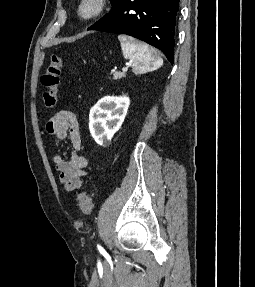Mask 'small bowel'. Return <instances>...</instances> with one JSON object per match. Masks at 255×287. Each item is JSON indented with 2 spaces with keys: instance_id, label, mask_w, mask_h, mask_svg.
<instances>
[{
  "instance_id": "c3829d8e",
  "label": "small bowel",
  "mask_w": 255,
  "mask_h": 287,
  "mask_svg": "<svg viewBox=\"0 0 255 287\" xmlns=\"http://www.w3.org/2000/svg\"><path fill=\"white\" fill-rule=\"evenodd\" d=\"M46 131L58 140H69L72 153L69 159L62 154H55L53 162L59 173L60 184L68 192L78 190L86 175L88 160L79 154L81 149V134L76 115L67 110L56 112L47 122Z\"/></svg>"
}]
</instances>
